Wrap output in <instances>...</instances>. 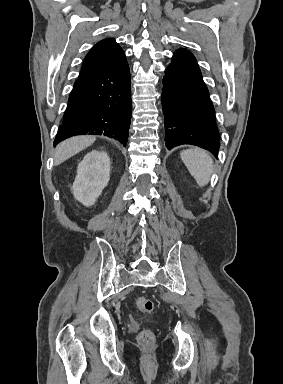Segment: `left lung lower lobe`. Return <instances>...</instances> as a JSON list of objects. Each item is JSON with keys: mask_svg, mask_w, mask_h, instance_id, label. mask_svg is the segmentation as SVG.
<instances>
[{"mask_svg": "<svg viewBox=\"0 0 283 384\" xmlns=\"http://www.w3.org/2000/svg\"><path fill=\"white\" fill-rule=\"evenodd\" d=\"M168 149L192 144L210 151L216 158L219 133L215 110L195 57L178 49L165 70L161 95Z\"/></svg>", "mask_w": 283, "mask_h": 384, "instance_id": "0a47b994", "label": "left lung lower lobe"}]
</instances>
